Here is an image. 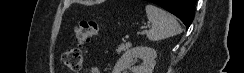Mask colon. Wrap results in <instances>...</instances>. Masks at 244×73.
<instances>
[{
	"label": "colon",
	"instance_id": "1",
	"mask_svg": "<svg viewBox=\"0 0 244 73\" xmlns=\"http://www.w3.org/2000/svg\"><path fill=\"white\" fill-rule=\"evenodd\" d=\"M99 33V24L94 20H82L75 28L77 44L67 48L61 57L62 63L73 73L83 66L84 46Z\"/></svg>",
	"mask_w": 244,
	"mask_h": 73
}]
</instances>
